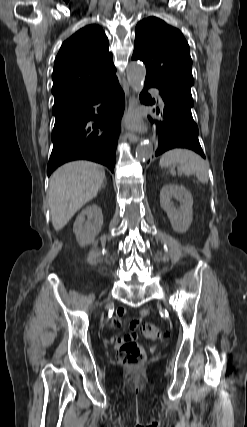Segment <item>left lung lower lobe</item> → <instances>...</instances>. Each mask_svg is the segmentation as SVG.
Instances as JSON below:
<instances>
[{
	"label": "left lung lower lobe",
	"instance_id": "1",
	"mask_svg": "<svg viewBox=\"0 0 247 427\" xmlns=\"http://www.w3.org/2000/svg\"><path fill=\"white\" fill-rule=\"evenodd\" d=\"M144 87L140 95L141 103L146 105L154 104L155 100H151V96L147 93V89L154 86L145 83ZM160 95L165 104L164 111L161 113L158 108L154 111L161 115L162 119L148 116L149 120L156 124L159 132V146L155 155H161L165 151L174 148H187L205 158L198 140V127L193 120L191 108L180 104L161 92Z\"/></svg>",
	"mask_w": 247,
	"mask_h": 427
}]
</instances>
